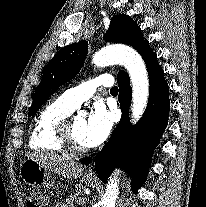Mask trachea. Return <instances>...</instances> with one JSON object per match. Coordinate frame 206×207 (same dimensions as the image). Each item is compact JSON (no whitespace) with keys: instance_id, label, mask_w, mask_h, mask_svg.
I'll use <instances>...</instances> for the list:
<instances>
[{"instance_id":"trachea-1","label":"trachea","mask_w":206,"mask_h":207,"mask_svg":"<svg viewBox=\"0 0 206 207\" xmlns=\"http://www.w3.org/2000/svg\"><path fill=\"white\" fill-rule=\"evenodd\" d=\"M111 93H118V87L114 86L110 90Z\"/></svg>"}]
</instances>
